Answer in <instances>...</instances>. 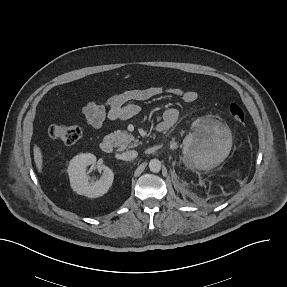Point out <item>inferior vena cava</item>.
Segmentation results:
<instances>
[{"label":"inferior vena cava","instance_id":"obj_1","mask_svg":"<svg viewBox=\"0 0 287 287\" xmlns=\"http://www.w3.org/2000/svg\"><path fill=\"white\" fill-rule=\"evenodd\" d=\"M138 156V153L135 150H130L122 153V159L126 161H130L135 159Z\"/></svg>","mask_w":287,"mask_h":287}]
</instances>
